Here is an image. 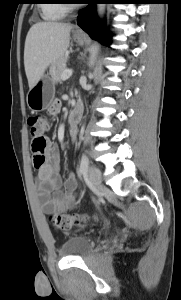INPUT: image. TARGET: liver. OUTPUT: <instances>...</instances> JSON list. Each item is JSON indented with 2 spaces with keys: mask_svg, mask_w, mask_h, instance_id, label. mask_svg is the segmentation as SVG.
<instances>
[{
  "mask_svg": "<svg viewBox=\"0 0 181 300\" xmlns=\"http://www.w3.org/2000/svg\"><path fill=\"white\" fill-rule=\"evenodd\" d=\"M71 29L72 25L57 22H39L30 28L24 48V66L30 89L50 65L64 56Z\"/></svg>",
  "mask_w": 181,
  "mask_h": 300,
  "instance_id": "1",
  "label": "liver"
}]
</instances>
